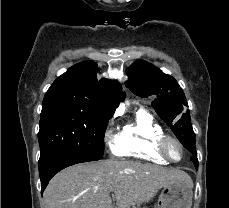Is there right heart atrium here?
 Wrapping results in <instances>:
<instances>
[{
	"mask_svg": "<svg viewBox=\"0 0 229 208\" xmlns=\"http://www.w3.org/2000/svg\"><path fill=\"white\" fill-rule=\"evenodd\" d=\"M109 133H110V131L107 130V131H106V134L108 135ZM114 141H115V138L112 139V142H113V143H114Z\"/></svg>",
	"mask_w": 229,
	"mask_h": 208,
	"instance_id": "1",
	"label": "right heart atrium"
}]
</instances>
